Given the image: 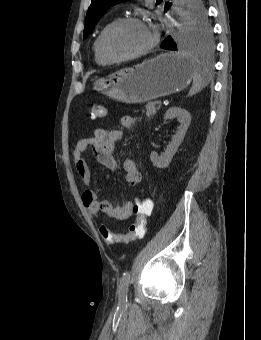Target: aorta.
<instances>
[{
	"mask_svg": "<svg viewBox=\"0 0 261 340\" xmlns=\"http://www.w3.org/2000/svg\"><path fill=\"white\" fill-rule=\"evenodd\" d=\"M175 10L178 12V13H181L183 8L182 6L185 4V0H175Z\"/></svg>",
	"mask_w": 261,
	"mask_h": 340,
	"instance_id": "762f6f07",
	"label": "aorta"
}]
</instances>
